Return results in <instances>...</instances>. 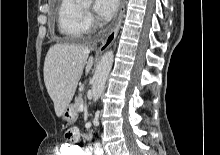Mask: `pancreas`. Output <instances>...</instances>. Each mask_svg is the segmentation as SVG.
Instances as JSON below:
<instances>
[{"label":"pancreas","instance_id":"cf45deb5","mask_svg":"<svg viewBox=\"0 0 220 155\" xmlns=\"http://www.w3.org/2000/svg\"><path fill=\"white\" fill-rule=\"evenodd\" d=\"M83 103H84V101H83V98H82V94H79V96L76 98V100H75V103H74V105H73V109L76 111V112H79L80 111V109H79V107L81 106V105H83Z\"/></svg>","mask_w":220,"mask_h":155}]
</instances>
